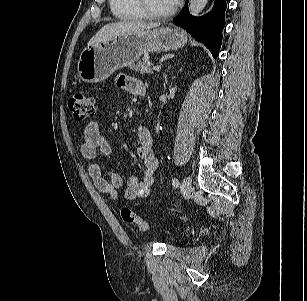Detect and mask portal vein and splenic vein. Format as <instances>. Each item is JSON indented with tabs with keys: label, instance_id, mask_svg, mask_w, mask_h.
<instances>
[{
	"label": "portal vein and splenic vein",
	"instance_id": "portal-vein-and-splenic-vein-1",
	"mask_svg": "<svg viewBox=\"0 0 307 301\" xmlns=\"http://www.w3.org/2000/svg\"><path fill=\"white\" fill-rule=\"evenodd\" d=\"M153 70L155 71H160L161 70V66L160 65H156L152 67Z\"/></svg>",
	"mask_w": 307,
	"mask_h": 301
}]
</instances>
